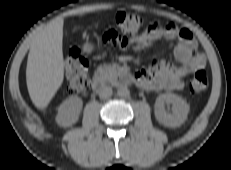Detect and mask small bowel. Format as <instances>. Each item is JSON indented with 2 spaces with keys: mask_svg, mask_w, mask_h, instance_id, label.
<instances>
[{
  "mask_svg": "<svg viewBox=\"0 0 231 170\" xmlns=\"http://www.w3.org/2000/svg\"><path fill=\"white\" fill-rule=\"evenodd\" d=\"M160 39L178 41L174 49V57L179 64L169 65L162 61H154L150 67L134 75L136 83L154 91L180 90L184 87V77L204 68L206 64L205 56L198 49L189 29L178 27L173 23L165 26L152 23L145 32L134 37L126 36L114 29L97 36L101 44L136 50L149 48Z\"/></svg>",
  "mask_w": 231,
  "mask_h": 170,
  "instance_id": "small-bowel-1",
  "label": "small bowel"
}]
</instances>
